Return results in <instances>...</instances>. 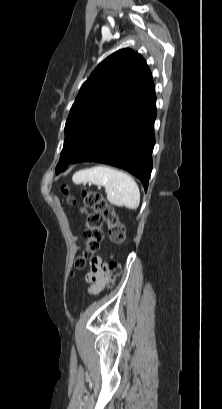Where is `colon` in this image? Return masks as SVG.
Listing matches in <instances>:
<instances>
[{
    "label": "colon",
    "instance_id": "obj_1",
    "mask_svg": "<svg viewBox=\"0 0 222 409\" xmlns=\"http://www.w3.org/2000/svg\"><path fill=\"white\" fill-rule=\"evenodd\" d=\"M63 195L69 203H75L74 198L70 195L69 188L66 184L61 187ZM83 209L91 210L87 216L85 229L83 232L85 238V249L82 255L75 259L74 266L76 269H83L88 259L93 256L98 249L103 238L102 224L106 223L108 227L109 237L116 244H123L125 241V229L119 221L112 207H110L103 196L93 190H83ZM111 266L108 269L109 282L108 286H112L115 279L121 274L122 266L118 261H110Z\"/></svg>",
    "mask_w": 222,
    "mask_h": 409
}]
</instances>
